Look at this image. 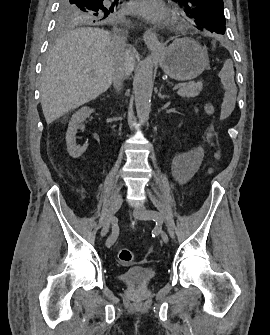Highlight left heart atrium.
I'll list each match as a JSON object with an SVG mask.
<instances>
[{"label": "left heart atrium", "mask_w": 270, "mask_h": 335, "mask_svg": "<svg viewBox=\"0 0 270 335\" xmlns=\"http://www.w3.org/2000/svg\"><path fill=\"white\" fill-rule=\"evenodd\" d=\"M133 12L153 27L169 26L173 17L160 0H138L134 3Z\"/></svg>", "instance_id": "39dd6f15"}]
</instances>
